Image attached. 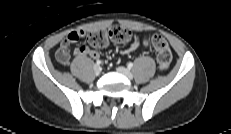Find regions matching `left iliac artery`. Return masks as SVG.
<instances>
[{
    "label": "left iliac artery",
    "mask_w": 231,
    "mask_h": 134,
    "mask_svg": "<svg viewBox=\"0 0 231 134\" xmlns=\"http://www.w3.org/2000/svg\"><path fill=\"white\" fill-rule=\"evenodd\" d=\"M127 66H128V68H132L133 67V63L129 62Z\"/></svg>",
    "instance_id": "obj_1"
}]
</instances>
